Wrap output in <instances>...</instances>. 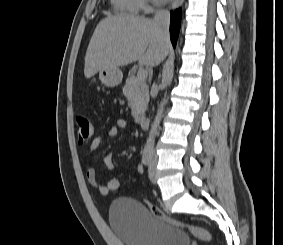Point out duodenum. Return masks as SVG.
<instances>
[{
  "label": "duodenum",
  "mask_w": 283,
  "mask_h": 245,
  "mask_svg": "<svg viewBox=\"0 0 283 245\" xmlns=\"http://www.w3.org/2000/svg\"><path fill=\"white\" fill-rule=\"evenodd\" d=\"M137 120L141 128L147 129L149 127L150 121L146 116H140Z\"/></svg>",
  "instance_id": "410a0bca"
}]
</instances>
